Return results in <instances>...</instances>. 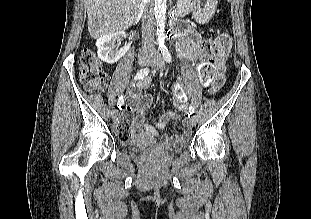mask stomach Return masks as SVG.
Listing matches in <instances>:
<instances>
[{
  "instance_id": "stomach-1",
  "label": "stomach",
  "mask_w": 311,
  "mask_h": 219,
  "mask_svg": "<svg viewBox=\"0 0 311 219\" xmlns=\"http://www.w3.org/2000/svg\"><path fill=\"white\" fill-rule=\"evenodd\" d=\"M193 17L195 21L200 24H204L209 22V20L213 17L217 0H193Z\"/></svg>"
}]
</instances>
